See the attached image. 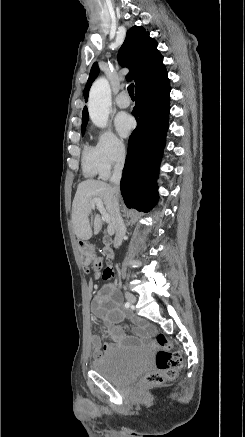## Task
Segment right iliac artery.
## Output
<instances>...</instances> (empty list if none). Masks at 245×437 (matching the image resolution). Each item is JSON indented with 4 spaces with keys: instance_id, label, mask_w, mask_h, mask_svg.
Returning a JSON list of instances; mask_svg holds the SVG:
<instances>
[{
    "instance_id": "1",
    "label": "right iliac artery",
    "mask_w": 245,
    "mask_h": 437,
    "mask_svg": "<svg viewBox=\"0 0 245 437\" xmlns=\"http://www.w3.org/2000/svg\"><path fill=\"white\" fill-rule=\"evenodd\" d=\"M125 307H126V308H129V307H130V303H129V302H126V303H125Z\"/></svg>"
}]
</instances>
